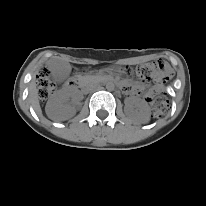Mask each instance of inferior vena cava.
<instances>
[{"mask_svg":"<svg viewBox=\"0 0 206 206\" xmlns=\"http://www.w3.org/2000/svg\"><path fill=\"white\" fill-rule=\"evenodd\" d=\"M96 89V86H93L92 88H90L88 91H93Z\"/></svg>","mask_w":206,"mask_h":206,"instance_id":"obj_1","label":"inferior vena cava"}]
</instances>
